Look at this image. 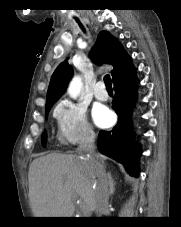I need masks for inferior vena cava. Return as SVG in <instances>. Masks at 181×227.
<instances>
[{
    "label": "inferior vena cava",
    "mask_w": 181,
    "mask_h": 227,
    "mask_svg": "<svg viewBox=\"0 0 181 227\" xmlns=\"http://www.w3.org/2000/svg\"><path fill=\"white\" fill-rule=\"evenodd\" d=\"M95 133L92 130H88L84 135L82 142L78 147L79 154H92L95 149ZM97 174V188H96V214L98 217L108 208L109 200V181L105 175V172L101 168L96 169Z\"/></svg>",
    "instance_id": "obj_1"
}]
</instances>
